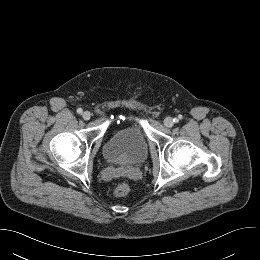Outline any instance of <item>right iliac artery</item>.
Instances as JSON below:
<instances>
[{"label":"right iliac artery","mask_w":260,"mask_h":260,"mask_svg":"<svg viewBox=\"0 0 260 260\" xmlns=\"http://www.w3.org/2000/svg\"><path fill=\"white\" fill-rule=\"evenodd\" d=\"M82 111H83V110H82L81 108H78V109H77V113H78V114H81Z\"/></svg>","instance_id":"right-iliac-artery-1"}]
</instances>
